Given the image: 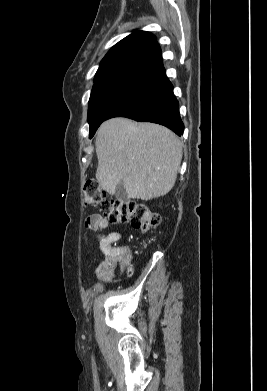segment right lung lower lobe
I'll return each instance as SVG.
<instances>
[{
  "instance_id": "1",
  "label": "right lung lower lobe",
  "mask_w": 267,
  "mask_h": 391,
  "mask_svg": "<svg viewBox=\"0 0 267 391\" xmlns=\"http://www.w3.org/2000/svg\"><path fill=\"white\" fill-rule=\"evenodd\" d=\"M118 116L161 124L178 136L184 131L178 100L173 94V86L166 77L165 70L114 108L106 120Z\"/></svg>"
}]
</instances>
